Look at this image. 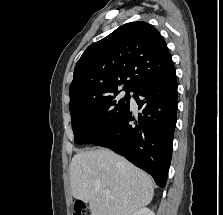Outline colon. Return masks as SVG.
I'll use <instances>...</instances> for the list:
<instances>
[{
    "label": "colon",
    "mask_w": 223,
    "mask_h": 215,
    "mask_svg": "<svg viewBox=\"0 0 223 215\" xmlns=\"http://www.w3.org/2000/svg\"><path fill=\"white\" fill-rule=\"evenodd\" d=\"M72 215H91V213L85 204L76 201L73 203Z\"/></svg>",
    "instance_id": "5ec220e1"
}]
</instances>
